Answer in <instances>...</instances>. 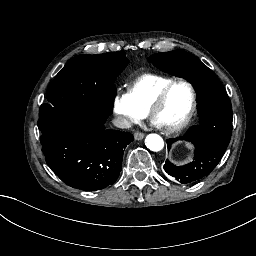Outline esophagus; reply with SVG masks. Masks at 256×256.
<instances>
[{
	"mask_svg": "<svg viewBox=\"0 0 256 256\" xmlns=\"http://www.w3.org/2000/svg\"><path fill=\"white\" fill-rule=\"evenodd\" d=\"M144 136H145V134L142 133V132H135V133H134V139H135V140H141V139L144 138Z\"/></svg>",
	"mask_w": 256,
	"mask_h": 256,
	"instance_id": "obj_1",
	"label": "esophagus"
}]
</instances>
